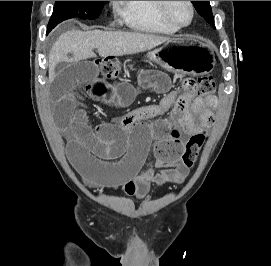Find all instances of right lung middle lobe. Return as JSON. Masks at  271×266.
Masks as SVG:
<instances>
[{"mask_svg":"<svg viewBox=\"0 0 271 266\" xmlns=\"http://www.w3.org/2000/svg\"><path fill=\"white\" fill-rule=\"evenodd\" d=\"M106 1H56L48 24L49 33L58 23L73 17L93 20L99 16Z\"/></svg>","mask_w":271,"mask_h":266,"instance_id":"right-lung-middle-lobe-1","label":"right lung middle lobe"}]
</instances>
